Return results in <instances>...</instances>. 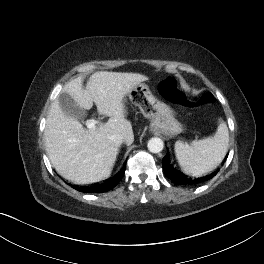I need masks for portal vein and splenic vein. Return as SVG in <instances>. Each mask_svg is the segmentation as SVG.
Listing matches in <instances>:
<instances>
[{
	"mask_svg": "<svg viewBox=\"0 0 264 264\" xmlns=\"http://www.w3.org/2000/svg\"><path fill=\"white\" fill-rule=\"evenodd\" d=\"M97 123H98L97 120L90 119L87 121L86 126L88 129H95Z\"/></svg>",
	"mask_w": 264,
	"mask_h": 264,
	"instance_id": "portal-vein-and-splenic-vein-1",
	"label": "portal vein and splenic vein"
}]
</instances>
